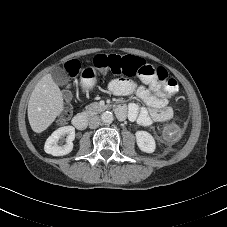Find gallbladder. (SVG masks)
Returning <instances> with one entry per match:
<instances>
[{
  "label": "gallbladder",
  "mask_w": 227,
  "mask_h": 227,
  "mask_svg": "<svg viewBox=\"0 0 227 227\" xmlns=\"http://www.w3.org/2000/svg\"><path fill=\"white\" fill-rule=\"evenodd\" d=\"M51 76L57 85L63 86L68 82V74L63 68L56 67L52 70Z\"/></svg>",
  "instance_id": "gallbladder-1"
}]
</instances>
